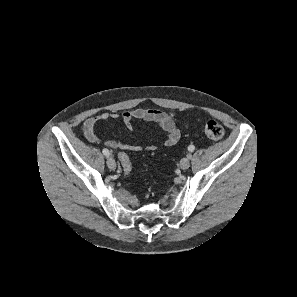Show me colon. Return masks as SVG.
Returning <instances> with one entry per match:
<instances>
[{
	"label": "colon",
	"mask_w": 297,
	"mask_h": 297,
	"mask_svg": "<svg viewBox=\"0 0 297 297\" xmlns=\"http://www.w3.org/2000/svg\"><path fill=\"white\" fill-rule=\"evenodd\" d=\"M203 131L206 137L214 141L220 140L224 136V128L214 120L206 121L203 126ZM119 160L123 164V170L129 174L132 170V164L130 163L128 154L121 152L119 154Z\"/></svg>",
	"instance_id": "5ec220e1"
}]
</instances>
